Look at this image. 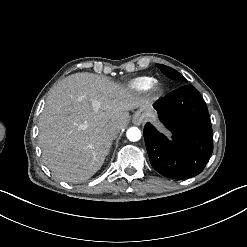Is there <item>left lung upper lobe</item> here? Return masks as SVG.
I'll list each match as a JSON object with an SVG mask.
<instances>
[{"mask_svg": "<svg viewBox=\"0 0 247 247\" xmlns=\"http://www.w3.org/2000/svg\"><path fill=\"white\" fill-rule=\"evenodd\" d=\"M156 66L169 78L175 79V80H181V81H186V79L176 70L162 65V64H156Z\"/></svg>", "mask_w": 247, "mask_h": 247, "instance_id": "left-lung-upper-lobe-1", "label": "left lung upper lobe"}]
</instances>
